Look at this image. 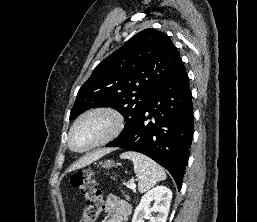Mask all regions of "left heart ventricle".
I'll use <instances>...</instances> for the list:
<instances>
[{
	"label": "left heart ventricle",
	"instance_id": "left-heart-ventricle-1",
	"mask_svg": "<svg viewBox=\"0 0 257 222\" xmlns=\"http://www.w3.org/2000/svg\"><path fill=\"white\" fill-rule=\"evenodd\" d=\"M110 122L107 117L94 115L82 120L72 134V145L75 149L83 150L98 142L109 130Z\"/></svg>",
	"mask_w": 257,
	"mask_h": 222
}]
</instances>
